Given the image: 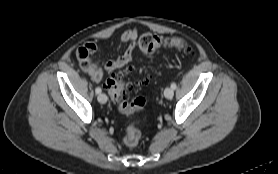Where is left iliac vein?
<instances>
[{"mask_svg": "<svg viewBox=\"0 0 278 174\" xmlns=\"http://www.w3.org/2000/svg\"><path fill=\"white\" fill-rule=\"evenodd\" d=\"M173 95H174V91L172 88L170 87H167L164 91V96L167 98V99H172L173 98Z\"/></svg>", "mask_w": 278, "mask_h": 174, "instance_id": "obj_1", "label": "left iliac vein"}]
</instances>
